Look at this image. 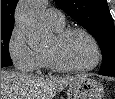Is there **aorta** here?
Listing matches in <instances>:
<instances>
[{
    "mask_svg": "<svg viewBox=\"0 0 115 99\" xmlns=\"http://www.w3.org/2000/svg\"><path fill=\"white\" fill-rule=\"evenodd\" d=\"M46 0H26L16 10V25L31 48L43 47L48 42L49 32L43 23Z\"/></svg>",
    "mask_w": 115,
    "mask_h": 99,
    "instance_id": "aorta-1",
    "label": "aorta"
}]
</instances>
